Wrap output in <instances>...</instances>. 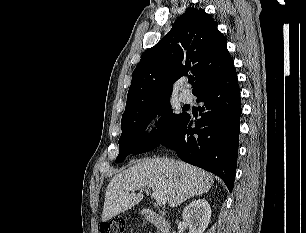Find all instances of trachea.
Returning <instances> with one entry per match:
<instances>
[{
  "label": "trachea",
  "mask_w": 306,
  "mask_h": 233,
  "mask_svg": "<svg viewBox=\"0 0 306 233\" xmlns=\"http://www.w3.org/2000/svg\"><path fill=\"white\" fill-rule=\"evenodd\" d=\"M188 82H189V83H193V82H194V78H189V79H188Z\"/></svg>",
  "instance_id": "trachea-1"
}]
</instances>
